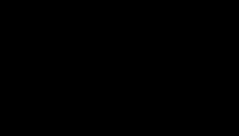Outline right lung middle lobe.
Wrapping results in <instances>:
<instances>
[{"label":"right lung middle lobe","instance_id":"dd1d6c3e","mask_svg":"<svg viewBox=\"0 0 239 136\" xmlns=\"http://www.w3.org/2000/svg\"><path fill=\"white\" fill-rule=\"evenodd\" d=\"M112 22L100 18H86L66 22L64 25L55 28L49 35L54 36L60 32L66 38H71L90 44L107 47L111 35Z\"/></svg>","mask_w":239,"mask_h":136}]
</instances>
